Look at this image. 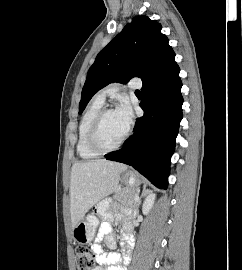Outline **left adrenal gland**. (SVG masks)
Masks as SVG:
<instances>
[{"label": "left adrenal gland", "instance_id": "obj_1", "mask_svg": "<svg viewBox=\"0 0 242 270\" xmlns=\"http://www.w3.org/2000/svg\"><path fill=\"white\" fill-rule=\"evenodd\" d=\"M150 193H151L150 190L145 189V188L143 189L142 194H141L140 198L138 199L136 207H135V214H134L135 216L139 214V205L141 203V198L150 194Z\"/></svg>", "mask_w": 242, "mask_h": 270}]
</instances>
